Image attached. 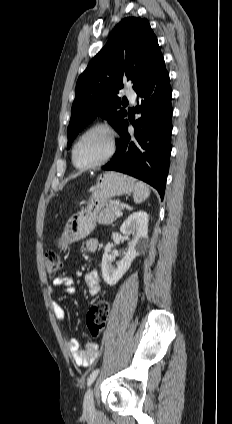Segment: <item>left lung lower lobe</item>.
Masks as SVG:
<instances>
[{
	"instance_id": "left-lung-lower-lobe-1",
	"label": "left lung lower lobe",
	"mask_w": 232,
	"mask_h": 424,
	"mask_svg": "<svg viewBox=\"0 0 232 424\" xmlns=\"http://www.w3.org/2000/svg\"><path fill=\"white\" fill-rule=\"evenodd\" d=\"M139 105L135 108L141 117L133 123L134 134L128 133L125 119L117 141L113 159L103 166L129 174L153 186L164 197L169 169L172 132V91L164 59L151 75L135 89Z\"/></svg>"
}]
</instances>
